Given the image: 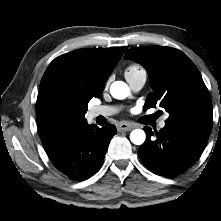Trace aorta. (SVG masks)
<instances>
[{"instance_id": "1", "label": "aorta", "mask_w": 221, "mask_h": 221, "mask_svg": "<svg viewBox=\"0 0 221 221\" xmlns=\"http://www.w3.org/2000/svg\"><path fill=\"white\" fill-rule=\"evenodd\" d=\"M110 92L114 98L119 100L130 98L132 96L130 87L122 81L114 82L110 87ZM145 139V132L141 129H135L130 134V140L135 145L143 144Z\"/></svg>"}]
</instances>
